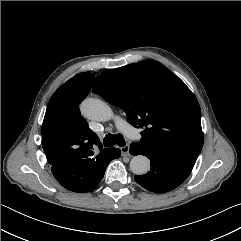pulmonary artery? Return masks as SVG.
Returning a JSON list of instances; mask_svg holds the SVG:
<instances>
[{
  "label": "pulmonary artery",
  "mask_w": 241,
  "mask_h": 241,
  "mask_svg": "<svg viewBox=\"0 0 241 241\" xmlns=\"http://www.w3.org/2000/svg\"><path fill=\"white\" fill-rule=\"evenodd\" d=\"M117 127L124 134H126L129 138H135L137 136L136 130L129 123H127L124 120H119L117 122Z\"/></svg>",
  "instance_id": "obj_1"
}]
</instances>
